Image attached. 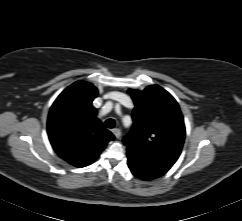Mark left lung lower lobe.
Wrapping results in <instances>:
<instances>
[{
  "instance_id": "obj_1",
  "label": "left lung lower lobe",
  "mask_w": 242,
  "mask_h": 221,
  "mask_svg": "<svg viewBox=\"0 0 242 221\" xmlns=\"http://www.w3.org/2000/svg\"><path fill=\"white\" fill-rule=\"evenodd\" d=\"M128 166L136 177L142 180H152L165 174L171 166L149 158L127 152Z\"/></svg>"
}]
</instances>
